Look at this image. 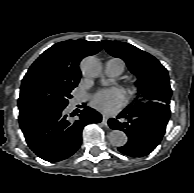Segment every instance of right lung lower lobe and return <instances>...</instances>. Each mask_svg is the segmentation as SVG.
<instances>
[{"instance_id":"obj_1","label":"right lung lower lobe","mask_w":194,"mask_h":193,"mask_svg":"<svg viewBox=\"0 0 194 193\" xmlns=\"http://www.w3.org/2000/svg\"><path fill=\"white\" fill-rule=\"evenodd\" d=\"M65 112V108L19 112V124L28 146L46 161L57 162L73 155L80 147L84 126L102 120L101 115L89 107L81 110L74 121H70Z\"/></svg>"}]
</instances>
